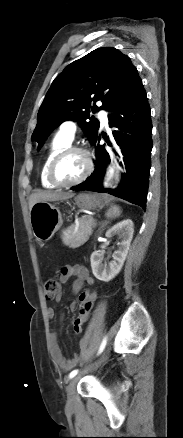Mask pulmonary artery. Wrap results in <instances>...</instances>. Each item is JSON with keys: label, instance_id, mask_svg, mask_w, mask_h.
<instances>
[{"label": "pulmonary artery", "instance_id": "e3ab8cb5", "mask_svg": "<svg viewBox=\"0 0 183 438\" xmlns=\"http://www.w3.org/2000/svg\"><path fill=\"white\" fill-rule=\"evenodd\" d=\"M99 116L103 123L107 122V113L104 110H100ZM75 132H76V125L72 121H66L62 123L60 126V133L71 140L74 138Z\"/></svg>", "mask_w": 183, "mask_h": 438}]
</instances>
